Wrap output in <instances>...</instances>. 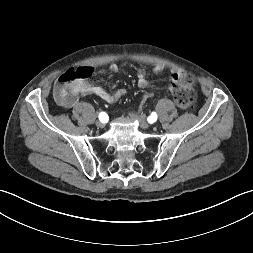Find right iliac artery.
I'll use <instances>...</instances> for the list:
<instances>
[{
  "label": "right iliac artery",
  "mask_w": 253,
  "mask_h": 253,
  "mask_svg": "<svg viewBox=\"0 0 253 253\" xmlns=\"http://www.w3.org/2000/svg\"><path fill=\"white\" fill-rule=\"evenodd\" d=\"M107 119H108V115L105 113V112H100L99 113V120L101 121V122H106L107 121Z\"/></svg>",
  "instance_id": "right-iliac-artery-1"
}]
</instances>
